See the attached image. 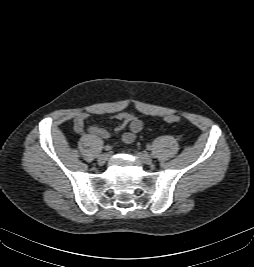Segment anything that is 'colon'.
<instances>
[{
	"instance_id": "1",
	"label": "colon",
	"mask_w": 254,
	"mask_h": 267,
	"mask_svg": "<svg viewBox=\"0 0 254 267\" xmlns=\"http://www.w3.org/2000/svg\"><path fill=\"white\" fill-rule=\"evenodd\" d=\"M164 119L167 123H177L179 121V117L175 114L167 115Z\"/></svg>"
}]
</instances>
